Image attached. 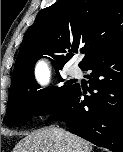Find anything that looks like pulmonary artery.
<instances>
[{"label": "pulmonary artery", "mask_w": 123, "mask_h": 152, "mask_svg": "<svg viewBox=\"0 0 123 152\" xmlns=\"http://www.w3.org/2000/svg\"><path fill=\"white\" fill-rule=\"evenodd\" d=\"M69 74L72 76V77H78L80 76L81 74V70L78 66L76 65H73L70 69H69Z\"/></svg>", "instance_id": "pulmonary-artery-1"}]
</instances>
